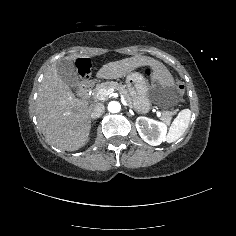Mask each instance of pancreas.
<instances>
[{"instance_id": "obj_1", "label": "pancreas", "mask_w": 236, "mask_h": 236, "mask_svg": "<svg viewBox=\"0 0 236 236\" xmlns=\"http://www.w3.org/2000/svg\"><path fill=\"white\" fill-rule=\"evenodd\" d=\"M111 88L118 91L131 107L134 105L132 98L128 95L127 89L122 84L117 82H105L103 84L96 86L92 92L93 96L96 98V100H99L100 99L98 96L99 90L101 89L108 90ZM174 115L175 111H164L161 116V119L167 123H171L172 117Z\"/></svg>"}]
</instances>
